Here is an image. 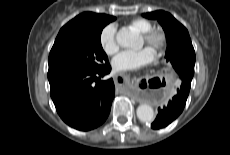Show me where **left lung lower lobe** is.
I'll use <instances>...</instances> for the list:
<instances>
[{
  "mask_svg": "<svg viewBox=\"0 0 230 155\" xmlns=\"http://www.w3.org/2000/svg\"><path fill=\"white\" fill-rule=\"evenodd\" d=\"M191 80L192 79L188 78L181 79V86L177 87L176 95L172 98V100H169L166 106L163 108H158V115L154 122L151 124V128H164L181 114L189 95Z\"/></svg>",
  "mask_w": 230,
  "mask_h": 155,
  "instance_id": "1",
  "label": "left lung lower lobe"
}]
</instances>
